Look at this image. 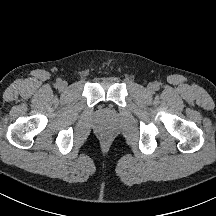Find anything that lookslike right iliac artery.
Wrapping results in <instances>:
<instances>
[{
  "label": "right iliac artery",
  "instance_id": "right-iliac-artery-1",
  "mask_svg": "<svg viewBox=\"0 0 216 216\" xmlns=\"http://www.w3.org/2000/svg\"><path fill=\"white\" fill-rule=\"evenodd\" d=\"M60 82H61V80H57V83H56V84H57V85H59V84H60Z\"/></svg>",
  "mask_w": 216,
  "mask_h": 216
}]
</instances>
